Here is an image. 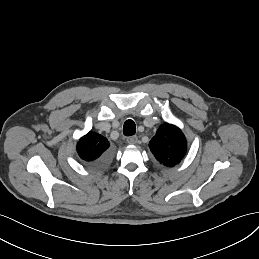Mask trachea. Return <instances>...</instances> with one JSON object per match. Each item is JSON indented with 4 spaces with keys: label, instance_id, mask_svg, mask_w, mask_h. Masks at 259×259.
<instances>
[{
    "label": "trachea",
    "instance_id": "obj_1",
    "mask_svg": "<svg viewBox=\"0 0 259 259\" xmlns=\"http://www.w3.org/2000/svg\"><path fill=\"white\" fill-rule=\"evenodd\" d=\"M136 131L135 123L132 120H127L123 127V133L125 136L134 135Z\"/></svg>",
    "mask_w": 259,
    "mask_h": 259
}]
</instances>
